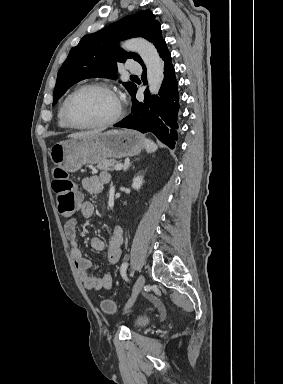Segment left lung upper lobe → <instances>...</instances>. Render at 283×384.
I'll return each mask as SVG.
<instances>
[{"mask_svg": "<svg viewBox=\"0 0 283 384\" xmlns=\"http://www.w3.org/2000/svg\"><path fill=\"white\" fill-rule=\"evenodd\" d=\"M132 37H143L149 40L158 51L165 43L162 39L160 23L155 20V15L150 10L139 11L96 33L84 36L79 44L71 49L58 71L53 104L70 86L83 79L91 77L117 79V62H125L128 58H133L144 66L138 54L128 53L116 47L119 41ZM123 85L131 95L137 88L131 82Z\"/></svg>", "mask_w": 283, "mask_h": 384, "instance_id": "obj_1", "label": "left lung upper lobe"}]
</instances>
